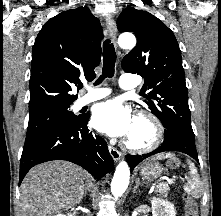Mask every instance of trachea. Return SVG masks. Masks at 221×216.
<instances>
[{
	"label": "trachea",
	"mask_w": 221,
	"mask_h": 216,
	"mask_svg": "<svg viewBox=\"0 0 221 216\" xmlns=\"http://www.w3.org/2000/svg\"><path fill=\"white\" fill-rule=\"evenodd\" d=\"M115 62L116 53L114 46L110 43V40H105L103 44V72L95 85L100 84L107 77L112 78L114 76ZM82 87V85L79 86V88Z\"/></svg>",
	"instance_id": "obj_1"
}]
</instances>
